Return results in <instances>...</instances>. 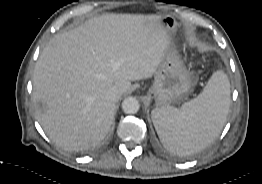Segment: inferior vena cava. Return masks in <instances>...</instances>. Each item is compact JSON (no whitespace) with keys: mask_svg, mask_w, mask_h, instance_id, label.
Masks as SVG:
<instances>
[{"mask_svg":"<svg viewBox=\"0 0 262 184\" xmlns=\"http://www.w3.org/2000/svg\"><path fill=\"white\" fill-rule=\"evenodd\" d=\"M107 99L111 101H117L119 99V91L115 87H111L106 92Z\"/></svg>","mask_w":262,"mask_h":184,"instance_id":"inferior-vena-cava-1","label":"inferior vena cava"}]
</instances>
